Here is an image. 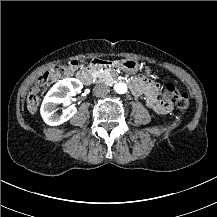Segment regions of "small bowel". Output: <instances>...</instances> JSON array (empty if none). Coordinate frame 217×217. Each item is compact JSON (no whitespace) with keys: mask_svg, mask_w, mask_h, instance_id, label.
Masks as SVG:
<instances>
[{"mask_svg":"<svg viewBox=\"0 0 217 217\" xmlns=\"http://www.w3.org/2000/svg\"><path fill=\"white\" fill-rule=\"evenodd\" d=\"M139 88L133 91V95L140 96L143 93L146 96V104L155 113L164 115L172 110V103L170 97L159 99L157 96L158 85L148 79H138Z\"/></svg>","mask_w":217,"mask_h":217,"instance_id":"1","label":"small bowel"}]
</instances>
